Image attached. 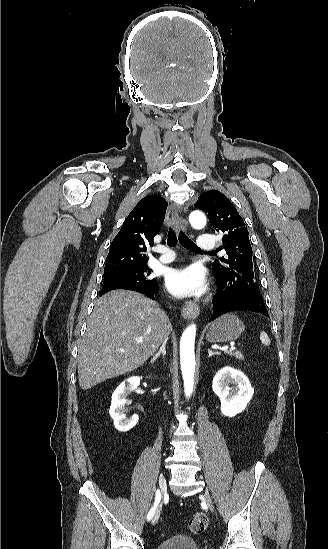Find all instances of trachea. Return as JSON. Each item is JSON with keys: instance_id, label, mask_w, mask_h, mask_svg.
Listing matches in <instances>:
<instances>
[{"instance_id": "1", "label": "trachea", "mask_w": 328, "mask_h": 549, "mask_svg": "<svg viewBox=\"0 0 328 549\" xmlns=\"http://www.w3.org/2000/svg\"><path fill=\"white\" fill-rule=\"evenodd\" d=\"M177 241H178V239H177L175 231L173 230V228H170L169 231H168L167 245L169 247H174V245L177 244ZM179 242L183 247H185V249H188V250H191V251H200L201 250L183 232H180Z\"/></svg>"}]
</instances>
